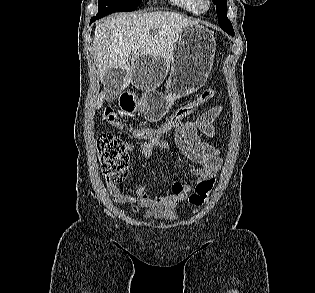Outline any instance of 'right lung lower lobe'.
<instances>
[{"label": "right lung lower lobe", "instance_id": "1", "mask_svg": "<svg viewBox=\"0 0 315 293\" xmlns=\"http://www.w3.org/2000/svg\"><path fill=\"white\" fill-rule=\"evenodd\" d=\"M111 13H114V12H113V11L98 12V14H97L96 16H94V17L91 18L90 24H91L92 22H94L95 20L100 19V18H102V17H104V16H106V15H108V14H111Z\"/></svg>", "mask_w": 315, "mask_h": 293}]
</instances>
